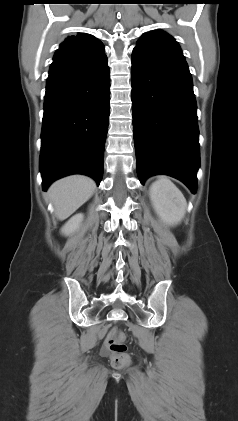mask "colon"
Listing matches in <instances>:
<instances>
[{
	"label": "colon",
	"mask_w": 238,
	"mask_h": 421,
	"mask_svg": "<svg viewBox=\"0 0 238 421\" xmlns=\"http://www.w3.org/2000/svg\"><path fill=\"white\" fill-rule=\"evenodd\" d=\"M107 350L110 353L111 364L116 369L129 365L130 358L127 354L126 335L120 330H112L107 339Z\"/></svg>",
	"instance_id": "colon-1"
}]
</instances>
